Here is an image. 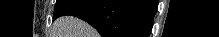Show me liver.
<instances>
[{
	"mask_svg": "<svg viewBox=\"0 0 219 37\" xmlns=\"http://www.w3.org/2000/svg\"><path fill=\"white\" fill-rule=\"evenodd\" d=\"M56 37H96V31L84 21L65 16L58 18L53 26Z\"/></svg>",
	"mask_w": 219,
	"mask_h": 37,
	"instance_id": "6515ba94",
	"label": "liver"
}]
</instances>
